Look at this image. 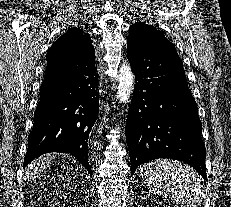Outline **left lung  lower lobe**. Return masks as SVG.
<instances>
[{
    "mask_svg": "<svg viewBox=\"0 0 231 207\" xmlns=\"http://www.w3.org/2000/svg\"><path fill=\"white\" fill-rule=\"evenodd\" d=\"M127 58L136 79L126 122L131 174L145 162L170 158L207 180L202 124L176 50L128 47Z\"/></svg>",
    "mask_w": 231,
    "mask_h": 207,
    "instance_id": "left-lung-lower-lobe-1",
    "label": "left lung lower lobe"
}]
</instances>
